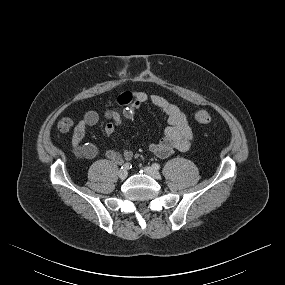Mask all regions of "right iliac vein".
Returning a JSON list of instances; mask_svg holds the SVG:
<instances>
[{"label": "right iliac vein", "instance_id": "obj_1", "mask_svg": "<svg viewBox=\"0 0 285 285\" xmlns=\"http://www.w3.org/2000/svg\"><path fill=\"white\" fill-rule=\"evenodd\" d=\"M118 176L122 180L126 179L127 176H128L127 170H124V169L120 170L119 173H118Z\"/></svg>", "mask_w": 285, "mask_h": 285}]
</instances>
